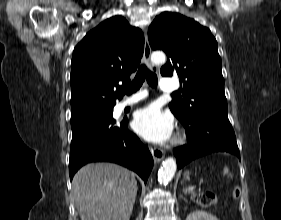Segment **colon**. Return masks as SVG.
Returning a JSON list of instances; mask_svg holds the SVG:
<instances>
[{"label":"colon","instance_id":"colon-1","mask_svg":"<svg viewBox=\"0 0 281 220\" xmlns=\"http://www.w3.org/2000/svg\"><path fill=\"white\" fill-rule=\"evenodd\" d=\"M240 195V189L235 188L232 192V198H238ZM197 200L203 205H211L216 202V196L213 193L206 192L197 196Z\"/></svg>","mask_w":281,"mask_h":220}]
</instances>
